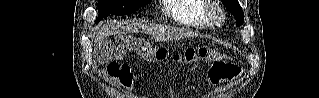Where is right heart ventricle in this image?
I'll return each instance as SVG.
<instances>
[{
    "instance_id": "1",
    "label": "right heart ventricle",
    "mask_w": 319,
    "mask_h": 98,
    "mask_svg": "<svg viewBox=\"0 0 319 98\" xmlns=\"http://www.w3.org/2000/svg\"><path fill=\"white\" fill-rule=\"evenodd\" d=\"M163 8L165 14L172 20L195 29H204L209 26L205 17L203 1L173 0L167 1Z\"/></svg>"
}]
</instances>
